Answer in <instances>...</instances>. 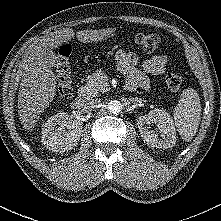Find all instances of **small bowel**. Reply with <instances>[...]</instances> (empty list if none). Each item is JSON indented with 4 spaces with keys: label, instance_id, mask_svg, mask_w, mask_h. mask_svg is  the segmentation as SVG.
Listing matches in <instances>:
<instances>
[{
    "label": "small bowel",
    "instance_id": "small-bowel-1",
    "mask_svg": "<svg viewBox=\"0 0 221 221\" xmlns=\"http://www.w3.org/2000/svg\"><path fill=\"white\" fill-rule=\"evenodd\" d=\"M116 61L119 71L127 76L126 88L133 91L138 88L148 89L149 75L164 74L168 59L165 55H154L141 62L136 54L119 50L116 54Z\"/></svg>",
    "mask_w": 221,
    "mask_h": 221
}]
</instances>
